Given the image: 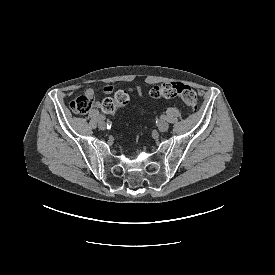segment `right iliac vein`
<instances>
[{"instance_id":"1","label":"right iliac vein","mask_w":275,"mask_h":275,"mask_svg":"<svg viewBox=\"0 0 275 275\" xmlns=\"http://www.w3.org/2000/svg\"><path fill=\"white\" fill-rule=\"evenodd\" d=\"M98 127L101 129V130H105L106 129V123L104 120H100L98 122Z\"/></svg>"}]
</instances>
